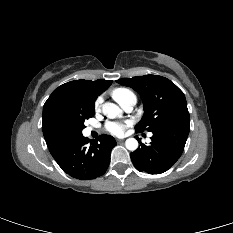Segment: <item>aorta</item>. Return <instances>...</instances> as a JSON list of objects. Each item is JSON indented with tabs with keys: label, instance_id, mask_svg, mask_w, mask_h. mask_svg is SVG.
Wrapping results in <instances>:
<instances>
[{
	"label": "aorta",
	"instance_id": "obj_1",
	"mask_svg": "<svg viewBox=\"0 0 233 233\" xmlns=\"http://www.w3.org/2000/svg\"><path fill=\"white\" fill-rule=\"evenodd\" d=\"M103 114L108 118H115L121 114V109L114 103L106 102L102 106ZM125 146L130 151H135L138 148V141L135 138H128Z\"/></svg>",
	"mask_w": 233,
	"mask_h": 233
}]
</instances>
